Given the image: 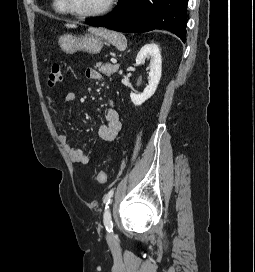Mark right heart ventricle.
<instances>
[{"mask_svg": "<svg viewBox=\"0 0 255 272\" xmlns=\"http://www.w3.org/2000/svg\"><path fill=\"white\" fill-rule=\"evenodd\" d=\"M52 6H53V9L57 13L62 14V15L68 14V12L66 11V9L64 8L62 0H53L52 1Z\"/></svg>", "mask_w": 255, "mask_h": 272, "instance_id": "e07e8e85", "label": "right heart ventricle"}]
</instances>
